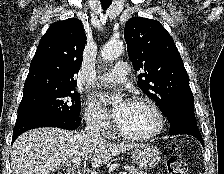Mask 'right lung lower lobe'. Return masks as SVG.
I'll return each mask as SVG.
<instances>
[{
  "label": "right lung lower lobe",
  "mask_w": 224,
  "mask_h": 174,
  "mask_svg": "<svg viewBox=\"0 0 224 174\" xmlns=\"http://www.w3.org/2000/svg\"><path fill=\"white\" fill-rule=\"evenodd\" d=\"M81 124V118H56L39 113H22L17 116L13 130L12 143L23 132L38 127H58L67 130H74Z\"/></svg>",
  "instance_id": "98d812e1"
}]
</instances>
